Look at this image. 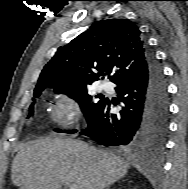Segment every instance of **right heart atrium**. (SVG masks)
I'll use <instances>...</instances> for the list:
<instances>
[{
    "label": "right heart atrium",
    "mask_w": 188,
    "mask_h": 189,
    "mask_svg": "<svg viewBox=\"0 0 188 189\" xmlns=\"http://www.w3.org/2000/svg\"><path fill=\"white\" fill-rule=\"evenodd\" d=\"M79 115V107L73 99H60L54 108L55 119L63 125H72Z\"/></svg>",
    "instance_id": "right-heart-atrium-1"
}]
</instances>
